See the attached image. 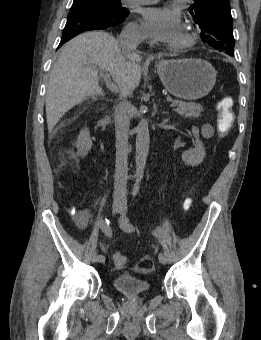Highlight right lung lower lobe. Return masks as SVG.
<instances>
[{"label": "right lung lower lobe", "instance_id": "98d812e1", "mask_svg": "<svg viewBox=\"0 0 261 340\" xmlns=\"http://www.w3.org/2000/svg\"><path fill=\"white\" fill-rule=\"evenodd\" d=\"M123 21L103 18L98 13L89 10H70L62 33V39L58 47L81 32L107 29L109 27H114Z\"/></svg>", "mask_w": 261, "mask_h": 340}]
</instances>
